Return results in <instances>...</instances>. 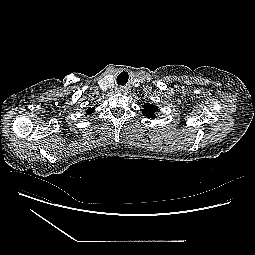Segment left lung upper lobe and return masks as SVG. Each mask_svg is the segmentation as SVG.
Wrapping results in <instances>:
<instances>
[{
    "instance_id": "left-lung-upper-lobe-1",
    "label": "left lung upper lobe",
    "mask_w": 255,
    "mask_h": 255,
    "mask_svg": "<svg viewBox=\"0 0 255 255\" xmlns=\"http://www.w3.org/2000/svg\"><path fill=\"white\" fill-rule=\"evenodd\" d=\"M158 110V107L153 104H145L143 105L142 113L148 118H155V114Z\"/></svg>"
}]
</instances>
